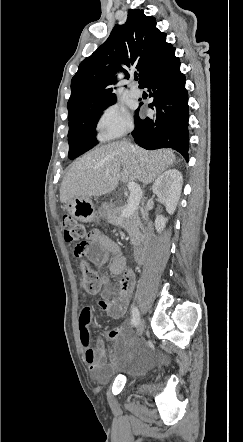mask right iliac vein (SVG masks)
Instances as JSON below:
<instances>
[{
    "label": "right iliac vein",
    "mask_w": 243,
    "mask_h": 442,
    "mask_svg": "<svg viewBox=\"0 0 243 442\" xmlns=\"http://www.w3.org/2000/svg\"><path fill=\"white\" fill-rule=\"evenodd\" d=\"M144 331V321L141 319L137 323L136 327V337H140Z\"/></svg>",
    "instance_id": "1"
}]
</instances>
